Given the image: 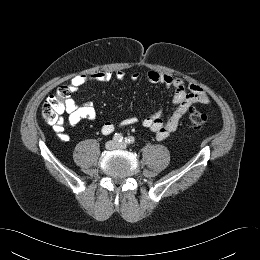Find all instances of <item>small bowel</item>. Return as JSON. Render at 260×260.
Segmentation results:
<instances>
[{"label": "small bowel", "mask_w": 260, "mask_h": 260, "mask_svg": "<svg viewBox=\"0 0 260 260\" xmlns=\"http://www.w3.org/2000/svg\"><path fill=\"white\" fill-rule=\"evenodd\" d=\"M125 73L122 70L98 71L84 75H76L70 80V89L75 90L86 83H102L116 78L123 80ZM131 80L137 81L140 73L133 72L130 75ZM146 79L151 83L161 84L167 89L173 91L172 103L174 110L167 119L162 118L161 110H156L146 116L142 125L150 130L157 139H167L178 127L182 117L187 113L189 108L194 104H209L211 98L209 94L199 85L188 83L181 78L174 77L167 73L157 71H148ZM66 112L68 114L67 122L70 126H75L82 120H95L97 111L90 103L78 104L74 99L69 98L67 101ZM136 122L135 118H126L119 123V126H127ZM113 122H105L101 127L103 135H109L116 129ZM57 132L64 141L70 139L69 135L64 132L62 122L57 125Z\"/></svg>", "instance_id": "1"}]
</instances>
